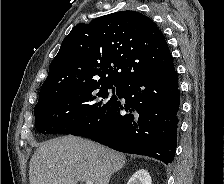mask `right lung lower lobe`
I'll return each instance as SVG.
<instances>
[{"instance_id":"right-lung-lower-lobe-1","label":"right lung lower lobe","mask_w":224,"mask_h":184,"mask_svg":"<svg viewBox=\"0 0 224 184\" xmlns=\"http://www.w3.org/2000/svg\"><path fill=\"white\" fill-rule=\"evenodd\" d=\"M98 118L71 135L117 151L146 155L166 164L174 159L180 105L175 68L129 80Z\"/></svg>"}]
</instances>
